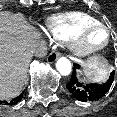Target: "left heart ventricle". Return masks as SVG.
I'll return each mask as SVG.
<instances>
[{"label":"left heart ventricle","mask_w":117,"mask_h":117,"mask_svg":"<svg viewBox=\"0 0 117 117\" xmlns=\"http://www.w3.org/2000/svg\"><path fill=\"white\" fill-rule=\"evenodd\" d=\"M105 38H106V34L104 30L94 29L86 35L85 42L87 45L96 46V45L102 44Z\"/></svg>","instance_id":"1"}]
</instances>
